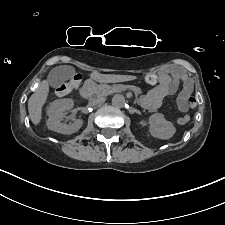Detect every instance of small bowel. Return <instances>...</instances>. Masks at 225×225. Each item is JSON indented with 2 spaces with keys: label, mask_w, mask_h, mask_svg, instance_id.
Listing matches in <instances>:
<instances>
[{
  "label": "small bowel",
  "mask_w": 225,
  "mask_h": 225,
  "mask_svg": "<svg viewBox=\"0 0 225 225\" xmlns=\"http://www.w3.org/2000/svg\"><path fill=\"white\" fill-rule=\"evenodd\" d=\"M162 83L157 87L149 90L141 99V105L148 111L155 112L159 109L162 100L166 96L173 95L178 86L182 85V90L178 95V109L180 112L185 113L187 111V99L193 90L192 79L178 67H168L162 73ZM189 120V116L184 114L177 119V123L182 125V120Z\"/></svg>",
  "instance_id": "c3829d8e"
}]
</instances>
